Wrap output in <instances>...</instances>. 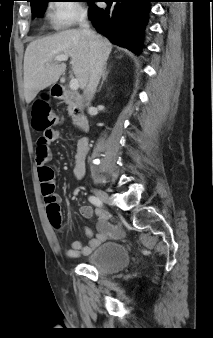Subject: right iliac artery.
<instances>
[{"label":"right iliac artery","mask_w":213,"mask_h":338,"mask_svg":"<svg viewBox=\"0 0 213 338\" xmlns=\"http://www.w3.org/2000/svg\"><path fill=\"white\" fill-rule=\"evenodd\" d=\"M89 201L96 206H99V207L103 206L102 200H100L99 198L95 196H90Z\"/></svg>","instance_id":"82829eb1"}]
</instances>
